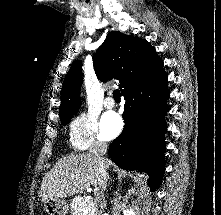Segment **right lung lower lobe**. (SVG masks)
<instances>
[{"label": "right lung lower lobe", "instance_id": "obj_1", "mask_svg": "<svg viewBox=\"0 0 221 215\" xmlns=\"http://www.w3.org/2000/svg\"><path fill=\"white\" fill-rule=\"evenodd\" d=\"M167 76L164 69L132 90L123 93V132L109 147V155L121 168L144 171L156 190L164 173L163 132L167 129Z\"/></svg>", "mask_w": 221, "mask_h": 215}]
</instances>
